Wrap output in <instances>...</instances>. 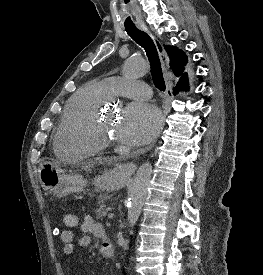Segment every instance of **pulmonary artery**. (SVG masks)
<instances>
[{"instance_id":"obj_1","label":"pulmonary artery","mask_w":263,"mask_h":275,"mask_svg":"<svg viewBox=\"0 0 263 275\" xmlns=\"http://www.w3.org/2000/svg\"><path fill=\"white\" fill-rule=\"evenodd\" d=\"M101 84L110 97L117 95L134 99H148L152 94L148 84L135 79L113 76L103 79Z\"/></svg>"}]
</instances>
